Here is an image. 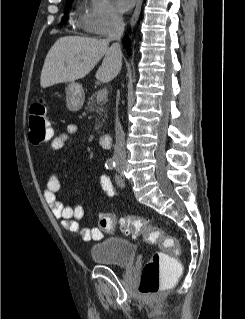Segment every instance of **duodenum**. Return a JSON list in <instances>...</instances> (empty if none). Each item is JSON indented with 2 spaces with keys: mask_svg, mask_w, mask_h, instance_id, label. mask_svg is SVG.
I'll use <instances>...</instances> for the list:
<instances>
[{
  "mask_svg": "<svg viewBox=\"0 0 245 319\" xmlns=\"http://www.w3.org/2000/svg\"><path fill=\"white\" fill-rule=\"evenodd\" d=\"M100 145L104 149H109L111 147L112 138L109 133H104L100 136Z\"/></svg>",
  "mask_w": 245,
  "mask_h": 319,
  "instance_id": "410a0bca",
  "label": "duodenum"
}]
</instances>
